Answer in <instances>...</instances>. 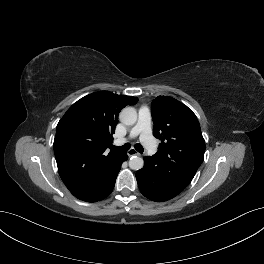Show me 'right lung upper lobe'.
Instances as JSON below:
<instances>
[{"instance_id":"obj_1","label":"right lung upper lobe","mask_w":264,"mask_h":264,"mask_svg":"<svg viewBox=\"0 0 264 264\" xmlns=\"http://www.w3.org/2000/svg\"><path fill=\"white\" fill-rule=\"evenodd\" d=\"M137 101L136 97L99 91L78 100L59 121L54 139L58 172L78 199L96 202L108 190L124 153L105 151L112 146L120 110Z\"/></svg>"}]
</instances>
